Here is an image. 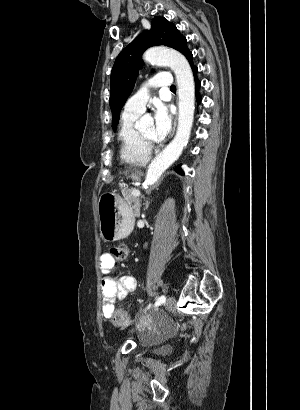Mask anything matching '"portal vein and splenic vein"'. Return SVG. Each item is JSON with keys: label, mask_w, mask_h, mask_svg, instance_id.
Masks as SVG:
<instances>
[{"label": "portal vein and splenic vein", "mask_w": 300, "mask_h": 410, "mask_svg": "<svg viewBox=\"0 0 300 410\" xmlns=\"http://www.w3.org/2000/svg\"><path fill=\"white\" fill-rule=\"evenodd\" d=\"M132 195L135 196V197H139L140 196V191L139 190H133Z\"/></svg>", "instance_id": "portal-vein-and-splenic-vein-1"}]
</instances>
